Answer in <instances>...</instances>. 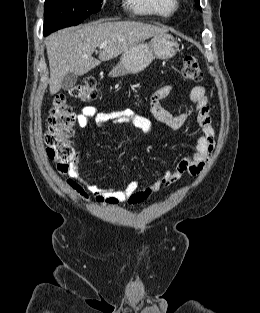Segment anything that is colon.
I'll return each mask as SVG.
<instances>
[{"instance_id": "obj_1", "label": "colon", "mask_w": 260, "mask_h": 313, "mask_svg": "<svg viewBox=\"0 0 260 313\" xmlns=\"http://www.w3.org/2000/svg\"><path fill=\"white\" fill-rule=\"evenodd\" d=\"M180 72L185 80L197 82L203 78V71L196 58L192 56L183 58ZM98 93L97 82L91 77L70 89V94L82 101L94 100L98 97ZM75 121L76 114L67 100V95L57 94L49 113L44 140L48 158L56 164L61 173L68 171L75 157V147L72 141Z\"/></svg>"}]
</instances>
